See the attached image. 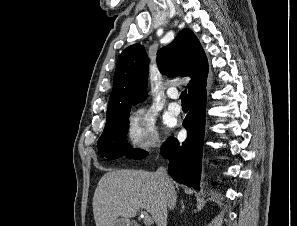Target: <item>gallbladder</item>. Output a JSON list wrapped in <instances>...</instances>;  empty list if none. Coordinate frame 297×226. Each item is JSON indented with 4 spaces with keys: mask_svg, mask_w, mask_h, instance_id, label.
Masks as SVG:
<instances>
[{
    "mask_svg": "<svg viewBox=\"0 0 297 226\" xmlns=\"http://www.w3.org/2000/svg\"><path fill=\"white\" fill-rule=\"evenodd\" d=\"M127 219L125 218H120L116 221L115 225L114 226H126L127 224Z\"/></svg>",
    "mask_w": 297,
    "mask_h": 226,
    "instance_id": "gallbladder-1",
    "label": "gallbladder"
}]
</instances>
